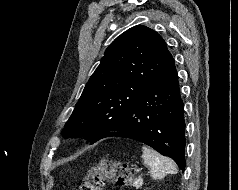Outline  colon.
<instances>
[{"mask_svg":"<svg viewBox=\"0 0 238 190\" xmlns=\"http://www.w3.org/2000/svg\"><path fill=\"white\" fill-rule=\"evenodd\" d=\"M133 179V172L127 164L103 159L89 170L80 190H102L106 181L128 185Z\"/></svg>","mask_w":238,"mask_h":190,"instance_id":"colon-1","label":"colon"}]
</instances>
